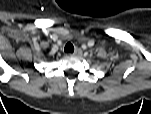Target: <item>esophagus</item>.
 I'll list each match as a JSON object with an SVG mask.
<instances>
[{
	"label": "esophagus",
	"instance_id": "esophagus-1",
	"mask_svg": "<svg viewBox=\"0 0 151 114\" xmlns=\"http://www.w3.org/2000/svg\"><path fill=\"white\" fill-rule=\"evenodd\" d=\"M81 55H82V50L81 49H76L74 51V53L72 54V56H74V57H79Z\"/></svg>",
	"mask_w": 151,
	"mask_h": 114
}]
</instances>
